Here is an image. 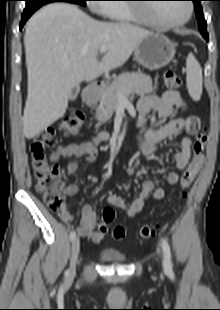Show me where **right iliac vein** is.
<instances>
[{
    "label": "right iliac vein",
    "instance_id": "1",
    "mask_svg": "<svg viewBox=\"0 0 220 310\" xmlns=\"http://www.w3.org/2000/svg\"><path fill=\"white\" fill-rule=\"evenodd\" d=\"M80 252V239L77 237L73 240L71 246V262L67 271V277L73 278L76 273V265L78 263V256Z\"/></svg>",
    "mask_w": 220,
    "mask_h": 310
}]
</instances>
